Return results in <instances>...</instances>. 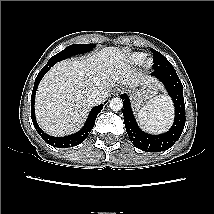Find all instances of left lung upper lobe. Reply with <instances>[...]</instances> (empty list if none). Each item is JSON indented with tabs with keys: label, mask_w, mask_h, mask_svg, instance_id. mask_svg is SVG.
Returning a JSON list of instances; mask_svg holds the SVG:
<instances>
[{
	"label": "left lung upper lobe",
	"mask_w": 214,
	"mask_h": 214,
	"mask_svg": "<svg viewBox=\"0 0 214 214\" xmlns=\"http://www.w3.org/2000/svg\"><path fill=\"white\" fill-rule=\"evenodd\" d=\"M154 55V70H175L172 64L158 51L152 49Z\"/></svg>",
	"instance_id": "1"
}]
</instances>
